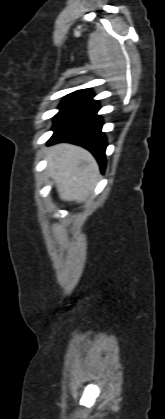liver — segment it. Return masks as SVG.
I'll return each mask as SVG.
<instances>
[{
	"mask_svg": "<svg viewBox=\"0 0 165 419\" xmlns=\"http://www.w3.org/2000/svg\"><path fill=\"white\" fill-rule=\"evenodd\" d=\"M47 170L64 201H84L99 178V166L93 155L82 147L58 144L48 149Z\"/></svg>",
	"mask_w": 165,
	"mask_h": 419,
	"instance_id": "1",
	"label": "liver"
}]
</instances>
